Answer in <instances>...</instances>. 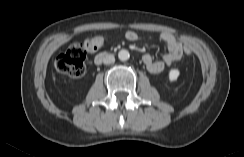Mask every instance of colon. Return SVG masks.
<instances>
[{"instance_id": "1", "label": "colon", "mask_w": 244, "mask_h": 157, "mask_svg": "<svg viewBox=\"0 0 244 157\" xmlns=\"http://www.w3.org/2000/svg\"><path fill=\"white\" fill-rule=\"evenodd\" d=\"M105 36L97 35L88 38L83 44H72L65 53L59 55L55 61L56 70L71 78H80L85 73L86 51H96L106 44ZM192 50L189 46H185L184 54L190 56Z\"/></svg>"}]
</instances>
